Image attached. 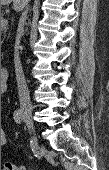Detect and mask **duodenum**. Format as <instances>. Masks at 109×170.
<instances>
[{"label": "duodenum", "instance_id": "obj_1", "mask_svg": "<svg viewBox=\"0 0 109 170\" xmlns=\"http://www.w3.org/2000/svg\"><path fill=\"white\" fill-rule=\"evenodd\" d=\"M8 87V71L6 68L1 69V91H6Z\"/></svg>", "mask_w": 109, "mask_h": 170}]
</instances>
